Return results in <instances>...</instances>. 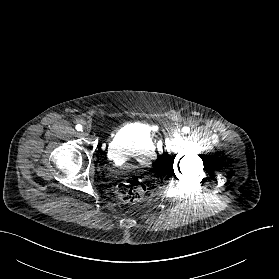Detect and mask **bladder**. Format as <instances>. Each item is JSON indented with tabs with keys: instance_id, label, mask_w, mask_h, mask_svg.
Returning <instances> with one entry per match:
<instances>
[{
	"instance_id": "obj_1",
	"label": "bladder",
	"mask_w": 279,
	"mask_h": 279,
	"mask_svg": "<svg viewBox=\"0 0 279 279\" xmlns=\"http://www.w3.org/2000/svg\"><path fill=\"white\" fill-rule=\"evenodd\" d=\"M110 159L124 169H142L157 157L150 127L142 122H129L117 128L106 144Z\"/></svg>"
}]
</instances>
